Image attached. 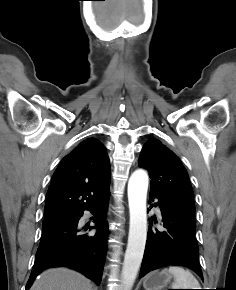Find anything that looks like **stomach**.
I'll return each mask as SVG.
<instances>
[{"instance_id": "1", "label": "stomach", "mask_w": 236, "mask_h": 290, "mask_svg": "<svg viewBox=\"0 0 236 290\" xmlns=\"http://www.w3.org/2000/svg\"><path fill=\"white\" fill-rule=\"evenodd\" d=\"M170 276L166 273L154 271L143 280L145 290H162L170 282Z\"/></svg>"}]
</instances>
